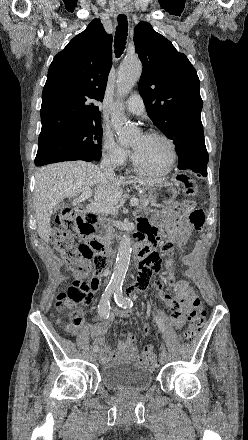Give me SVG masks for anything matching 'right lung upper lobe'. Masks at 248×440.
<instances>
[{"label": "right lung upper lobe", "instance_id": "obj_1", "mask_svg": "<svg viewBox=\"0 0 248 440\" xmlns=\"http://www.w3.org/2000/svg\"><path fill=\"white\" fill-rule=\"evenodd\" d=\"M112 35L94 19L53 59L42 94L40 134L99 122L112 66Z\"/></svg>", "mask_w": 248, "mask_h": 440}]
</instances>
